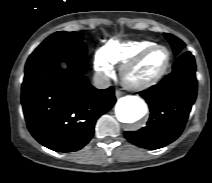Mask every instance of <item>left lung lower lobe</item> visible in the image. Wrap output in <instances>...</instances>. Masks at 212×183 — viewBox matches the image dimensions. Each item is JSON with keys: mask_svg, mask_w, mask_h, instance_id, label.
<instances>
[{"mask_svg": "<svg viewBox=\"0 0 212 183\" xmlns=\"http://www.w3.org/2000/svg\"><path fill=\"white\" fill-rule=\"evenodd\" d=\"M196 65L190 52L181 54L173 71L157 85L142 91L150 108L147 125L134 132H125L133 144L146 148H162L182 133L197 95Z\"/></svg>", "mask_w": 212, "mask_h": 183, "instance_id": "0a47b994", "label": "left lung lower lobe"}]
</instances>
